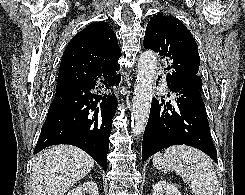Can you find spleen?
<instances>
[{
    "label": "spleen",
    "mask_w": 245,
    "mask_h": 195,
    "mask_svg": "<svg viewBox=\"0 0 245 195\" xmlns=\"http://www.w3.org/2000/svg\"><path fill=\"white\" fill-rule=\"evenodd\" d=\"M153 165L164 172L175 171L194 195H217L218 178L210 158L185 145L167 148L153 156Z\"/></svg>",
    "instance_id": "obj_1"
}]
</instances>
